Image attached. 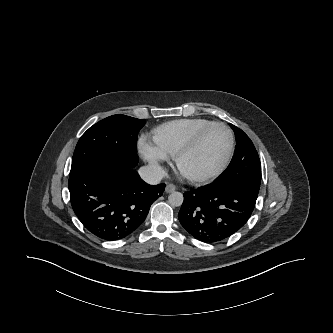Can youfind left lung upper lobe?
Listing matches in <instances>:
<instances>
[{
  "mask_svg": "<svg viewBox=\"0 0 333 333\" xmlns=\"http://www.w3.org/2000/svg\"><path fill=\"white\" fill-rule=\"evenodd\" d=\"M230 125L236 138L235 154L227 169L214 182L242 187L258 195L261 183L258 153L250 138L238 127Z\"/></svg>",
  "mask_w": 333,
  "mask_h": 333,
  "instance_id": "left-lung-upper-lobe-1",
  "label": "left lung upper lobe"
}]
</instances>
